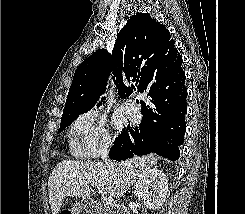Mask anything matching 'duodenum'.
<instances>
[{
    "instance_id": "obj_1",
    "label": "duodenum",
    "mask_w": 245,
    "mask_h": 214,
    "mask_svg": "<svg viewBox=\"0 0 245 214\" xmlns=\"http://www.w3.org/2000/svg\"><path fill=\"white\" fill-rule=\"evenodd\" d=\"M85 207L90 214H99L102 210L99 204L92 199L85 200ZM109 214H129V212L119 205H111L108 209Z\"/></svg>"
}]
</instances>
